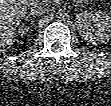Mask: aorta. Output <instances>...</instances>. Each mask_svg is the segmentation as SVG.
<instances>
[{"label": "aorta", "instance_id": "aorta-1", "mask_svg": "<svg viewBox=\"0 0 111 106\" xmlns=\"http://www.w3.org/2000/svg\"><path fill=\"white\" fill-rule=\"evenodd\" d=\"M67 16V13L63 10V9H59L57 12H56V17L59 18V19H63Z\"/></svg>", "mask_w": 111, "mask_h": 106}]
</instances>
